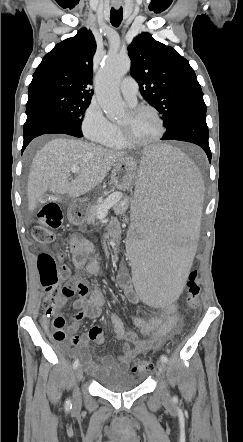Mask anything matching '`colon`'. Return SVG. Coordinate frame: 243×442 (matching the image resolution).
I'll use <instances>...</instances> for the list:
<instances>
[{
  "instance_id": "colon-1",
  "label": "colon",
  "mask_w": 243,
  "mask_h": 442,
  "mask_svg": "<svg viewBox=\"0 0 243 442\" xmlns=\"http://www.w3.org/2000/svg\"><path fill=\"white\" fill-rule=\"evenodd\" d=\"M117 220L118 222H122L125 227L131 224L130 215L128 213H118ZM62 222L63 212L58 200H49L40 210L39 222L32 229L34 241L42 247H55L57 242L53 231L60 228ZM38 269L40 283L47 293L45 299L46 312L53 313L60 302L66 297H71L75 290L61 287L60 279L67 276L68 270L65 267L58 268L52 255L48 253L39 255ZM199 273L200 268L193 266L188 273L189 277L185 280L187 289L183 295L186 297L187 307L193 313L198 311L200 306L199 298L202 296L201 286L198 280ZM51 333L57 341L66 339L65 321L61 316H57L51 324ZM132 365V371L136 374L145 375L153 370L152 362L142 357H133Z\"/></svg>"
}]
</instances>
